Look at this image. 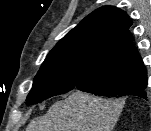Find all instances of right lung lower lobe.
Returning a JSON list of instances; mask_svg holds the SVG:
<instances>
[{
  "mask_svg": "<svg viewBox=\"0 0 151 131\" xmlns=\"http://www.w3.org/2000/svg\"><path fill=\"white\" fill-rule=\"evenodd\" d=\"M146 85L147 84L139 86L136 89H134L128 93L117 94L111 89L101 88L99 86L98 81L93 80V78L89 79L88 76H80V77L76 78V80H75V88H77L81 91H84V92H89V93H93L95 95H100V96H112V97L133 95V96H138V97L148 100L150 95L146 91Z\"/></svg>",
  "mask_w": 151,
  "mask_h": 131,
  "instance_id": "98d812e1",
  "label": "right lung lower lobe"
}]
</instances>
